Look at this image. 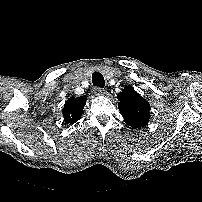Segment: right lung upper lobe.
Listing matches in <instances>:
<instances>
[{
    "label": "right lung upper lobe",
    "mask_w": 202,
    "mask_h": 202,
    "mask_svg": "<svg viewBox=\"0 0 202 202\" xmlns=\"http://www.w3.org/2000/svg\"><path fill=\"white\" fill-rule=\"evenodd\" d=\"M86 99L83 97H70L64 105L63 117L64 121L68 124H73L82 116Z\"/></svg>",
    "instance_id": "right-lung-upper-lobe-1"
}]
</instances>
